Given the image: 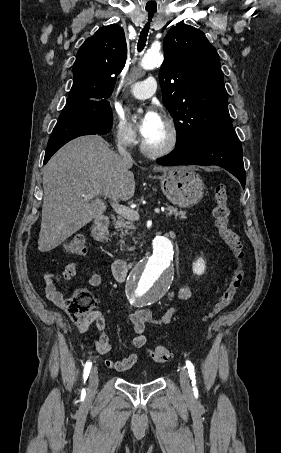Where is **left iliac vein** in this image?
<instances>
[{
	"label": "left iliac vein",
	"instance_id": "1",
	"mask_svg": "<svg viewBox=\"0 0 281 453\" xmlns=\"http://www.w3.org/2000/svg\"><path fill=\"white\" fill-rule=\"evenodd\" d=\"M180 388L183 391L184 395H191L192 394V389L190 386V380H189V372L185 369L182 368L180 370Z\"/></svg>",
	"mask_w": 281,
	"mask_h": 453
}]
</instances>
